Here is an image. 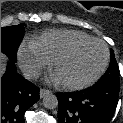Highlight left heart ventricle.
<instances>
[{
	"label": "left heart ventricle",
	"mask_w": 123,
	"mask_h": 123,
	"mask_svg": "<svg viewBox=\"0 0 123 123\" xmlns=\"http://www.w3.org/2000/svg\"><path fill=\"white\" fill-rule=\"evenodd\" d=\"M105 56L99 43H88L63 60L55 70L59 81L78 83L91 78L101 67Z\"/></svg>",
	"instance_id": "obj_1"
}]
</instances>
